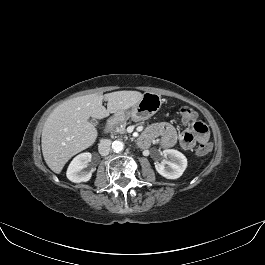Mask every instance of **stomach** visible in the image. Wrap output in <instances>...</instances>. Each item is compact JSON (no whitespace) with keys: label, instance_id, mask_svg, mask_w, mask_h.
<instances>
[{"label":"stomach","instance_id":"0dacf381","mask_svg":"<svg viewBox=\"0 0 265 265\" xmlns=\"http://www.w3.org/2000/svg\"><path fill=\"white\" fill-rule=\"evenodd\" d=\"M161 96L156 93L146 92L141 100L126 110L115 113L118 119L131 118L134 121L147 120L153 116L161 107Z\"/></svg>","mask_w":265,"mask_h":265}]
</instances>
